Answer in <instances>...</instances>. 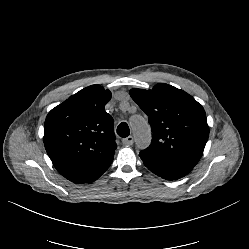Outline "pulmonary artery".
<instances>
[{"instance_id": "pulmonary-artery-1", "label": "pulmonary artery", "mask_w": 249, "mask_h": 249, "mask_svg": "<svg viewBox=\"0 0 249 249\" xmlns=\"http://www.w3.org/2000/svg\"><path fill=\"white\" fill-rule=\"evenodd\" d=\"M123 99H127V96L126 95H122L121 96Z\"/></svg>"}]
</instances>
